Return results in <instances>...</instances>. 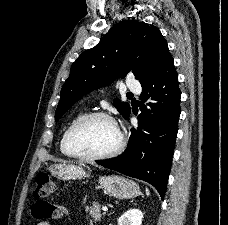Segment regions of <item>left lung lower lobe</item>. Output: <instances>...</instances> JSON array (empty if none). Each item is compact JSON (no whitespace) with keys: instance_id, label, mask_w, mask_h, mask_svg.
Returning a JSON list of instances; mask_svg holds the SVG:
<instances>
[{"instance_id":"0a47b994","label":"left lung lower lobe","mask_w":228,"mask_h":225,"mask_svg":"<svg viewBox=\"0 0 228 225\" xmlns=\"http://www.w3.org/2000/svg\"><path fill=\"white\" fill-rule=\"evenodd\" d=\"M141 86L142 113L138 127L131 129L127 148L114 159L96 163L150 183L164 199L181 112L178 74L171 54Z\"/></svg>"}]
</instances>
